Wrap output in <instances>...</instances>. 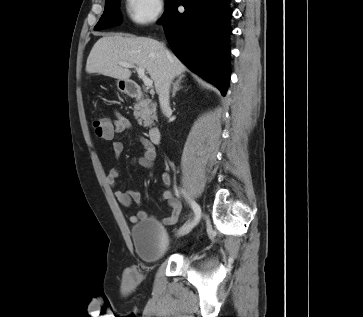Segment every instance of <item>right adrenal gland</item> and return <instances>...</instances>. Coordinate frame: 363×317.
<instances>
[{"mask_svg": "<svg viewBox=\"0 0 363 317\" xmlns=\"http://www.w3.org/2000/svg\"><path fill=\"white\" fill-rule=\"evenodd\" d=\"M185 76L184 75H181L176 81L175 83L173 84V89H172V95L171 97L174 98L175 97V94L177 91H179L182 86L180 85V83L182 82V79L184 78Z\"/></svg>", "mask_w": 363, "mask_h": 317, "instance_id": "right-adrenal-gland-1", "label": "right adrenal gland"}]
</instances>
